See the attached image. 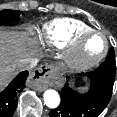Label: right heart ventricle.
<instances>
[{"instance_id": "1", "label": "right heart ventricle", "mask_w": 117, "mask_h": 117, "mask_svg": "<svg viewBox=\"0 0 117 117\" xmlns=\"http://www.w3.org/2000/svg\"><path fill=\"white\" fill-rule=\"evenodd\" d=\"M89 30L92 28L80 20L59 18L43 26L41 39L51 47L64 48L77 34Z\"/></svg>"}]
</instances>
